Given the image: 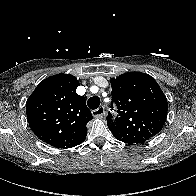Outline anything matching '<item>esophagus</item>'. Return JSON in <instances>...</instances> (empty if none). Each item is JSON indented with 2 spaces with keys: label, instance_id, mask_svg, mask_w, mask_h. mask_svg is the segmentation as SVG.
Returning a JSON list of instances; mask_svg holds the SVG:
<instances>
[{
  "label": "esophagus",
  "instance_id": "1",
  "mask_svg": "<svg viewBox=\"0 0 196 196\" xmlns=\"http://www.w3.org/2000/svg\"><path fill=\"white\" fill-rule=\"evenodd\" d=\"M92 115L95 118H101L105 115V108L103 106H100L99 108L92 111Z\"/></svg>",
  "mask_w": 196,
  "mask_h": 196
}]
</instances>
